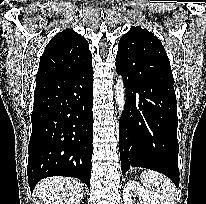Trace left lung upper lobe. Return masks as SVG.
<instances>
[{
    "label": "left lung upper lobe",
    "mask_w": 206,
    "mask_h": 204,
    "mask_svg": "<svg viewBox=\"0 0 206 204\" xmlns=\"http://www.w3.org/2000/svg\"><path fill=\"white\" fill-rule=\"evenodd\" d=\"M116 57H119L131 69L140 67L143 61H148L158 63L171 71L170 62L161 41L152 32L140 26L131 27L121 37Z\"/></svg>",
    "instance_id": "5c2ea615"
}]
</instances>
